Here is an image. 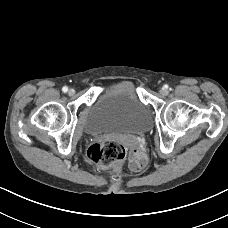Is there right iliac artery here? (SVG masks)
Returning <instances> with one entry per match:
<instances>
[{
    "label": "right iliac artery",
    "mask_w": 228,
    "mask_h": 228,
    "mask_svg": "<svg viewBox=\"0 0 228 228\" xmlns=\"http://www.w3.org/2000/svg\"><path fill=\"white\" fill-rule=\"evenodd\" d=\"M62 91H63L64 93H66V92L68 91V87L64 86V87L62 88Z\"/></svg>",
    "instance_id": "right-iliac-artery-1"
}]
</instances>
